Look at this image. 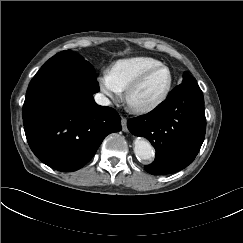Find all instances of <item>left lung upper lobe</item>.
<instances>
[{"mask_svg": "<svg viewBox=\"0 0 243 243\" xmlns=\"http://www.w3.org/2000/svg\"><path fill=\"white\" fill-rule=\"evenodd\" d=\"M187 82H196V79L192 77L191 75L185 73L183 76V82L182 83H187Z\"/></svg>", "mask_w": 243, "mask_h": 243, "instance_id": "obj_1", "label": "left lung upper lobe"}]
</instances>
